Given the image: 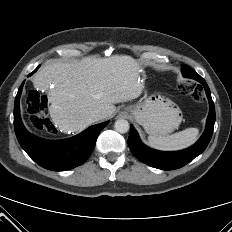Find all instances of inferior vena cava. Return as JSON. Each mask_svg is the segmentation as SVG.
Masks as SVG:
<instances>
[{
    "mask_svg": "<svg viewBox=\"0 0 232 232\" xmlns=\"http://www.w3.org/2000/svg\"><path fill=\"white\" fill-rule=\"evenodd\" d=\"M102 118H103V114H102V113H93V114L91 115V120H92L93 122L98 121V120H100V119H102Z\"/></svg>",
    "mask_w": 232,
    "mask_h": 232,
    "instance_id": "602c4592",
    "label": "inferior vena cava"
}]
</instances>
